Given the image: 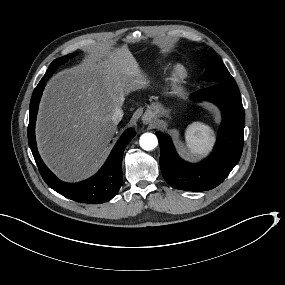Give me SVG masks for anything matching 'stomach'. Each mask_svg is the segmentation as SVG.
Returning a JSON list of instances; mask_svg holds the SVG:
<instances>
[{"label": "stomach", "instance_id": "stomach-1", "mask_svg": "<svg viewBox=\"0 0 285 285\" xmlns=\"http://www.w3.org/2000/svg\"><path fill=\"white\" fill-rule=\"evenodd\" d=\"M161 107L158 104H154L150 107L149 110H147V112H151L154 116L158 113L161 112Z\"/></svg>", "mask_w": 285, "mask_h": 285}]
</instances>
